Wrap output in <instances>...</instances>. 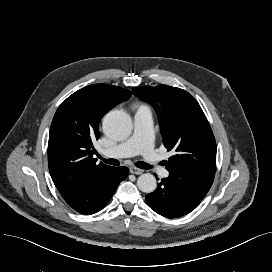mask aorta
I'll use <instances>...</instances> for the list:
<instances>
[{"label":"aorta","mask_w":272,"mask_h":272,"mask_svg":"<svg viewBox=\"0 0 272 272\" xmlns=\"http://www.w3.org/2000/svg\"><path fill=\"white\" fill-rule=\"evenodd\" d=\"M104 133L115 140L126 139L132 131L130 116L121 110H113L107 113L103 120ZM137 186L144 193H152L156 187V178L150 173L138 177Z\"/></svg>","instance_id":"aorta-1"}]
</instances>
